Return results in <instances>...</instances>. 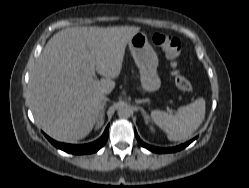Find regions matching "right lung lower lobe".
Masks as SVG:
<instances>
[{
    "label": "right lung lower lobe",
    "mask_w": 249,
    "mask_h": 188,
    "mask_svg": "<svg viewBox=\"0 0 249 188\" xmlns=\"http://www.w3.org/2000/svg\"><path fill=\"white\" fill-rule=\"evenodd\" d=\"M108 127L105 129L103 135L96 141L89 143V144H84V145H71V144H64V143H59L51 138H48V140L57 148L67 152V153H72V154H89V153H94L98 151L100 148L104 146L108 139Z\"/></svg>",
    "instance_id": "right-lung-lower-lobe-1"
}]
</instances>
